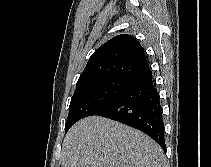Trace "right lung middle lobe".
<instances>
[{
    "label": "right lung middle lobe",
    "instance_id": "right-lung-middle-lobe-1",
    "mask_svg": "<svg viewBox=\"0 0 211 167\" xmlns=\"http://www.w3.org/2000/svg\"><path fill=\"white\" fill-rule=\"evenodd\" d=\"M131 85L129 78L107 77L77 85L71 98L65 131L78 120L93 115Z\"/></svg>",
    "mask_w": 211,
    "mask_h": 167
}]
</instances>
